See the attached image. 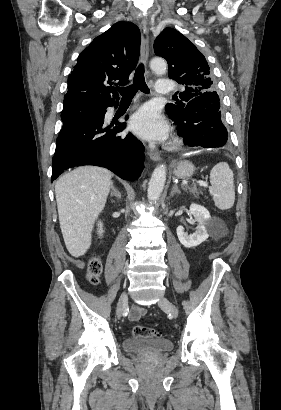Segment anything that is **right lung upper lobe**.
Masks as SVG:
<instances>
[{"label":"right lung upper lobe","instance_id":"1","mask_svg":"<svg viewBox=\"0 0 281 410\" xmlns=\"http://www.w3.org/2000/svg\"><path fill=\"white\" fill-rule=\"evenodd\" d=\"M140 41L139 28L131 22H117L96 37L78 56L74 71L68 76L63 108L102 107L116 102L118 94L108 85L128 83L138 61Z\"/></svg>","mask_w":281,"mask_h":410}]
</instances>
